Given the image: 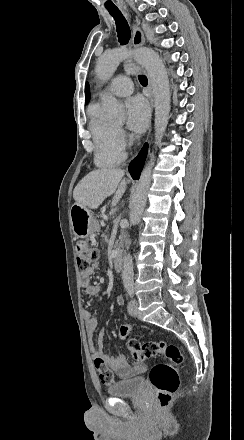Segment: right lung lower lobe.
<instances>
[{"mask_svg":"<svg viewBox=\"0 0 244 440\" xmlns=\"http://www.w3.org/2000/svg\"><path fill=\"white\" fill-rule=\"evenodd\" d=\"M148 152V145L147 143L144 144L143 148L139 152L136 158H134L131 163L129 164V173L133 179H139L140 173L142 171V168L144 166L146 157Z\"/></svg>","mask_w":244,"mask_h":440,"instance_id":"obj_1","label":"right lung lower lobe"}]
</instances>
